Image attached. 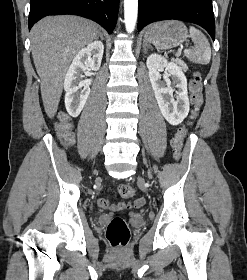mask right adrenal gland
<instances>
[{
  "instance_id": "obj_1",
  "label": "right adrenal gland",
  "mask_w": 247,
  "mask_h": 280,
  "mask_svg": "<svg viewBox=\"0 0 247 280\" xmlns=\"http://www.w3.org/2000/svg\"><path fill=\"white\" fill-rule=\"evenodd\" d=\"M99 36H100L101 40H103V36L101 34H99Z\"/></svg>"
}]
</instances>
